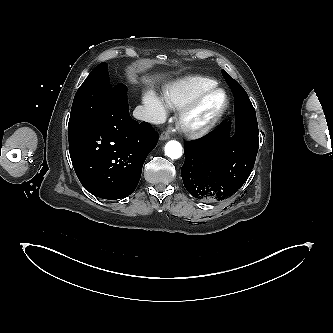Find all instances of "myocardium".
I'll use <instances>...</instances> for the list:
<instances>
[{
    "instance_id": "1",
    "label": "myocardium",
    "mask_w": 333,
    "mask_h": 333,
    "mask_svg": "<svg viewBox=\"0 0 333 333\" xmlns=\"http://www.w3.org/2000/svg\"><path fill=\"white\" fill-rule=\"evenodd\" d=\"M220 93L222 102L219 107L202 122H194L192 117L203 101L210 95ZM230 104V98L227 91L217 85L208 88L179 110L177 116V126L186 135L190 137H202L210 133L224 117Z\"/></svg>"
}]
</instances>
